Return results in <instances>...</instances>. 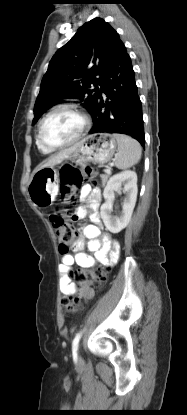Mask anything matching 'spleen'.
<instances>
[{"instance_id":"obj_1","label":"spleen","mask_w":187,"mask_h":415,"mask_svg":"<svg viewBox=\"0 0 187 415\" xmlns=\"http://www.w3.org/2000/svg\"><path fill=\"white\" fill-rule=\"evenodd\" d=\"M118 144L115 166L119 169L129 168L139 162L142 149L138 141L123 134H113Z\"/></svg>"}]
</instances>
